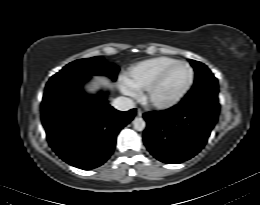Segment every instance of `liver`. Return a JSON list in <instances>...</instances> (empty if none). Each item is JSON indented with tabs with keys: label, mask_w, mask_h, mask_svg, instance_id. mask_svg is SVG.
<instances>
[{
	"label": "liver",
	"mask_w": 260,
	"mask_h": 205,
	"mask_svg": "<svg viewBox=\"0 0 260 205\" xmlns=\"http://www.w3.org/2000/svg\"><path fill=\"white\" fill-rule=\"evenodd\" d=\"M101 87L113 89L115 85L104 77H96L92 84L84 86V91L89 94H95Z\"/></svg>",
	"instance_id": "liver-1"
}]
</instances>
